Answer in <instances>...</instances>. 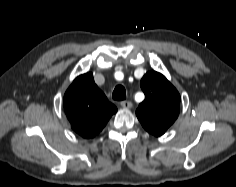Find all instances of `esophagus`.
<instances>
[{"label": "esophagus", "mask_w": 236, "mask_h": 187, "mask_svg": "<svg viewBox=\"0 0 236 187\" xmlns=\"http://www.w3.org/2000/svg\"><path fill=\"white\" fill-rule=\"evenodd\" d=\"M121 107L124 109H130L132 108V103L130 101H122Z\"/></svg>", "instance_id": "34e87169"}]
</instances>
